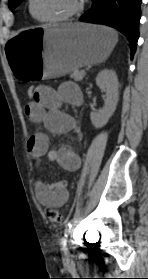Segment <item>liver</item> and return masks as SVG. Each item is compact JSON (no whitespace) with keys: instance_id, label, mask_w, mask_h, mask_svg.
Masks as SVG:
<instances>
[{"instance_id":"6515ba94","label":"liver","mask_w":148,"mask_h":279,"mask_svg":"<svg viewBox=\"0 0 148 279\" xmlns=\"http://www.w3.org/2000/svg\"><path fill=\"white\" fill-rule=\"evenodd\" d=\"M76 25H83V24H81V23H76Z\"/></svg>"}]
</instances>
